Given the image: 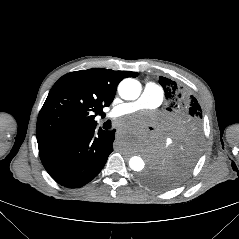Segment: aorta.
Listing matches in <instances>:
<instances>
[{
    "mask_svg": "<svg viewBox=\"0 0 239 239\" xmlns=\"http://www.w3.org/2000/svg\"><path fill=\"white\" fill-rule=\"evenodd\" d=\"M118 92L122 99L135 100L140 96L141 84L133 78H126L120 82ZM129 166L134 171H141L145 167V162L141 157L133 156L129 160Z\"/></svg>",
    "mask_w": 239,
    "mask_h": 239,
    "instance_id": "1",
    "label": "aorta"
}]
</instances>
